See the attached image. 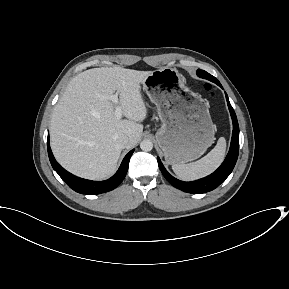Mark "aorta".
Here are the masks:
<instances>
[{
	"instance_id": "762f6f07",
	"label": "aorta",
	"mask_w": 289,
	"mask_h": 289,
	"mask_svg": "<svg viewBox=\"0 0 289 289\" xmlns=\"http://www.w3.org/2000/svg\"><path fill=\"white\" fill-rule=\"evenodd\" d=\"M140 148L145 152L151 151L153 149V143L150 140H143L140 143Z\"/></svg>"
}]
</instances>
